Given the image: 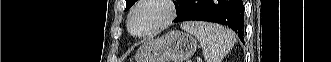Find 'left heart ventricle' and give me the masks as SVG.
Returning <instances> with one entry per match:
<instances>
[{
  "label": "left heart ventricle",
  "instance_id": "left-heart-ventricle-1",
  "mask_svg": "<svg viewBox=\"0 0 331 62\" xmlns=\"http://www.w3.org/2000/svg\"><path fill=\"white\" fill-rule=\"evenodd\" d=\"M165 15V9L159 4L143 6L135 14L132 29L135 33H142L156 25Z\"/></svg>",
  "mask_w": 331,
  "mask_h": 62
}]
</instances>
